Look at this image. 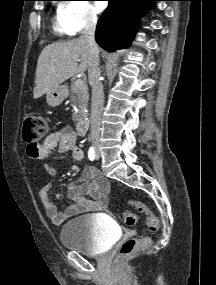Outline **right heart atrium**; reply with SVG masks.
<instances>
[{
  "label": "right heart atrium",
  "instance_id": "d8ad5b80",
  "mask_svg": "<svg viewBox=\"0 0 216 285\" xmlns=\"http://www.w3.org/2000/svg\"><path fill=\"white\" fill-rule=\"evenodd\" d=\"M58 20L67 35H76L94 27L98 17L87 0H66L58 7Z\"/></svg>",
  "mask_w": 216,
  "mask_h": 285
}]
</instances>
